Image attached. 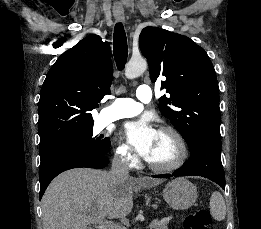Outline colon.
Here are the masks:
<instances>
[{"mask_svg": "<svg viewBox=\"0 0 261 229\" xmlns=\"http://www.w3.org/2000/svg\"><path fill=\"white\" fill-rule=\"evenodd\" d=\"M211 216L208 210L199 209L188 214L184 220V229H210Z\"/></svg>", "mask_w": 261, "mask_h": 229, "instance_id": "5ec220e1", "label": "colon"}]
</instances>
